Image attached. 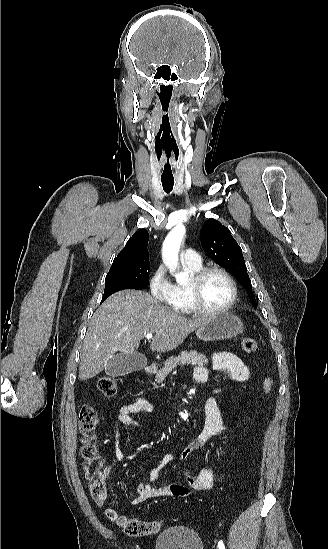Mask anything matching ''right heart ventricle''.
<instances>
[{
    "label": "right heart ventricle",
    "instance_id": "right-heart-ventricle-1",
    "mask_svg": "<svg viewBox=\"0 0 328 549\" xmlns=\"http://www.w3.org/2000/svg\"><path fill=\"white\" fill-rule=\"evenodd\" d=\"M182 264L185 271L188 274H192L204 265V260L199 256L198 261L182 260ZM164 303H173V310H180V319H194V313L188 308L191 302L187 295L186 284L184 285L179 282L171 283L169 295Z\"/></svg>",
    "mask_w": 328,
    "mask_h": 549
}]
</instances>
